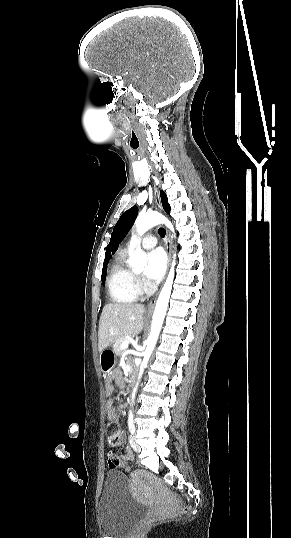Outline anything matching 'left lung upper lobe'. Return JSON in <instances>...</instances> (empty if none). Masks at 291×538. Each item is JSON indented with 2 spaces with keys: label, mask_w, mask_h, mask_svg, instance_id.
<instances>
[{
  "label": "left lung upper lobe",
  "mask_w": 291,
  "mask_h": 538,
  "mask_svg": "<svg viewBox=\"0 0 291 538\" xmlns=\"http://www.w3.org/2000/svg\"><path fill=\"white\" fill-rule=\"evenodd\" d=\"M161 201L164 210L167 213H170V205L167 202V196L163 191H160ZM138 213L137 206H133L127 211H125L121 217L119 218L118 222L116 223L113 233L111 234V244H112V251L114 252L117 248L119 243L124 239L125 235L127 234L128 230L132 226L133 221L135 220Z\"/></svg>",
  "instance_id": "left-lung-upper-lobe-1"
}]
</instances>
